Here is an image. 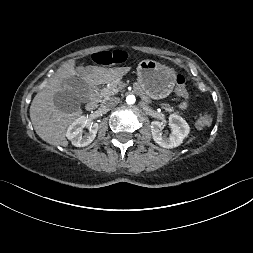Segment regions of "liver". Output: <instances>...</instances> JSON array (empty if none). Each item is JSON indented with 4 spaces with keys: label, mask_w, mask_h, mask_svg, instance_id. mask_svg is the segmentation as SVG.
<instances>
[{
    "label": "liver",
    "mask_w": 253,
    "mask_h": 253,
    "mask_svg": "<svg viewBox=\"0 0 253 253\" xmlns=\"http://www.w3.org/2000/svg\"><path fill=\"white\" fill-rule=\"evenodd\" d=\"M123 68H104L99 66L75 67L70 60L60 67L47 86L33 99L30 106V119L37 135L45 142L56 146H68L66 129L76 118L82 115L80 106L73 113H66L54 105V95L64 90L63 83L72 77H78L88 86L114 83L123 74Z\"/></svg>",
    "instance_id": "obj_1"
}]
</instances>
